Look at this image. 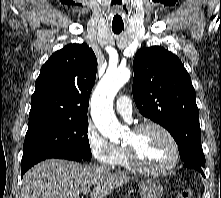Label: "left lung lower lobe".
<instances>
[{
  "label": "left lung lower lobe",
  "instance_id": "obj_1",
  "mask_svg": "<svg viewBox=\"0 0 221 198\" xmlns=\"http://www.w3.org/2000/svg\"><path fill=\"white\" fill-rule=\"evenodd\" d=\"M183 166L196 169L197 171H199L204 176V173H203V170H202L201 167H198V166H195V165H190L188 163H184Z\"/></svg>",
  "mask_w": 221,
  "mask_h": 198
}]
</instances>
